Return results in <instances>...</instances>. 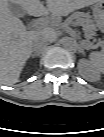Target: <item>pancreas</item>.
<instances>
[{
    "instance_id": "1",
    "label": "pancreas",
    "mask_w": 104,
    "mask_h": 137,
    "mask_svg": "<svg viewBox=\"0 0 104 137\" xmlns=\"http://www.w3.org/2000/svg\"><path fill=\"white\" fill-rule=\"evenodd\" d=\"M88 20V15L82 12H75L67 19V21L70 23L74 22L84 26L85 30H90L93 28V24H91Z\"/></svg>"
}]
</instances>
